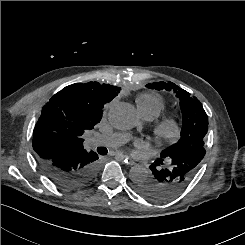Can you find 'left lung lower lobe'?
I'll list each match as a JSON object with an SVG mask.
<instances>
[{
    "mask_svg": "<svg viewBox=\"0 0 245 245\" xmlns=\"http://www.w3.org/2000/svg\"><path fill=\"white\" fill-rule=\"evenodd\" d=\"M206 151L204 146H189L150 166L153 176L137 185L138 192L154 201L170 199L181 192L194 177ZM163 161L168 165L163 167Z\"/></svg>",
    "mask_w": 245,
    "mask_h": 245,
    "instance_id": "obj_1",
    "label": "left lung lower lobe"
}]
</instances>
